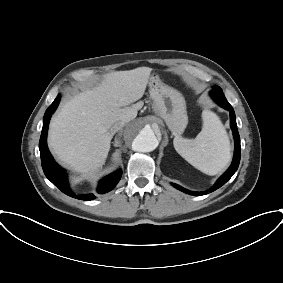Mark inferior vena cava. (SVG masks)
I'll return each instance as SVG.
<instances>
[{
  "label": "inferior vena cava",
  "instance_id": "1",
  "mask_svg": "<svg viewBox=\"0 0 283 283\" xmlns=\"http://www.w3.org/2000/svg\"><path fill=\"white\" fill-rule=\"evenodd\" d=\"M124 126L123 122H116L114 123L111 128H110V132L111 134H115L117 131H119L122 127Z\"/></svg>",
  "mask_w": 283,
  "mask_h": 283
}]
</instances>
